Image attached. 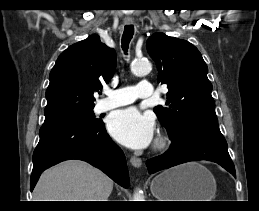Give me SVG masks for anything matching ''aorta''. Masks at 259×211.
I'll list each match as a JSON object with an SVG mask.
<instances>
[{
    "label": "aorta",
    "mask_w": 259,
    "mask_h": 211,
    "mask_svg": "<svg viewBox=\"0 0 259 211\" xmlns=\"http://www.w3.org/2000/svg\"><path fill=\"white\" fill-rule=\"evenodd\" d=\"M131 71L136 76H145L151 71V63L148 60H137L132 64ZM133 199V201H144L142 192L137 190Z\"/></svg>",
    "instance_id": "obj_1"
}]
</instances>
